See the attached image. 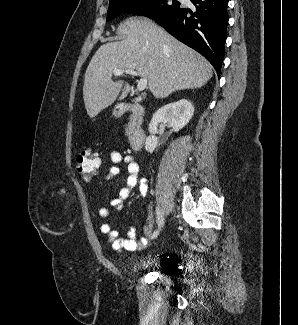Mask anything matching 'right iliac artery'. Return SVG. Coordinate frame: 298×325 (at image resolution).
<instances>
[{"label": "right iliac artery", "mask_w": 298, "mask_h": 325, "mask_svg": "<svg viewBox=\"0 0 298 325\" xmlns=\"http://www.w3.org/2000/svg\"><path fill=\"white\" fill-rule=\"evenodd\" d=\"M158 233H159L158 230L154 231L153 234H152V236H151V239L156 238L158 236Z\"/></svg>", "instance_id": "82829eb1"}]
</instances>
